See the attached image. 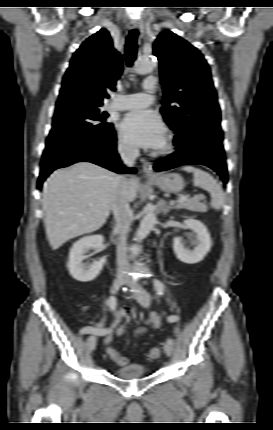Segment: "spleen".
<instances>
[{"label": "spleen", "instance_id": "1", "mask_svg": "<svg viewBox=\"0 0 273 430\" xmlns=\"http://www.w3.org/2000/svg\"><path fill=\"white\" fill-rule=\"evenodd\" d=\"M182 170L193 173L194 185L207 190L211 194V206L216 210H220L224 206V194L221 190V186L217 181L206 171L188 165L182 168Z\"/></svg>", "mask_w": 273, "mask_h": 430}]
</instances>
